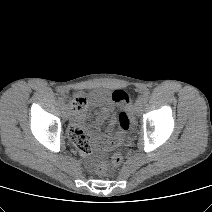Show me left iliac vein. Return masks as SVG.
I'll use <instances>...</instances> for the list:
<instances>
[{
	"label": "left iliac vein",
	"mask_w": 212,
	"mask_h": 212,
	"mask_svg": "<svg viewBox=\"0 0 212 212\" xmlns=\"http://www.w3.org/2000/svg\"><path fill=\"white\" fill-rule=\"evenodd\" d=\"M144 103H145V101L143 100V98H138L137 101H136V103H135V111H136V114L138 116L143 111Z\"/></svg>",
	"instance_id": "obj_1"
}]
</instances>
